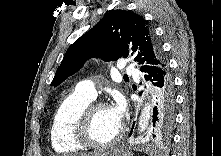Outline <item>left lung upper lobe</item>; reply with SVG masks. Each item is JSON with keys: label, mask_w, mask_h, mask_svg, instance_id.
Segmentation results:
<instances>
[{"label": "left lung upper lobe", "mask_w": 221, "mask_h": 156, "mask_svg": "<svg viewBox=\"0 0 221 156\" xmlns=\"http://www.w3.org/2000/svg\"><path fill=\"white\" fill-rule=\"evenodd\" d=\"M130 43L131 55H135L134 61L141 65V71L166 62L160 44L142 16L113 10L68 48L51 86H58L91 57L104 61L127 57Z\"/></svg>", "instance_id": "obj_1"}]
</instances>
